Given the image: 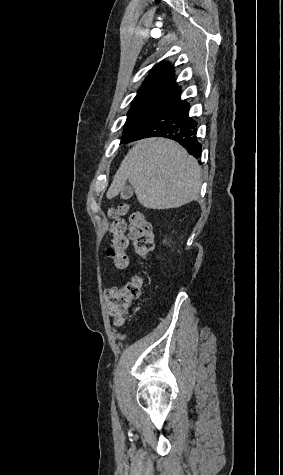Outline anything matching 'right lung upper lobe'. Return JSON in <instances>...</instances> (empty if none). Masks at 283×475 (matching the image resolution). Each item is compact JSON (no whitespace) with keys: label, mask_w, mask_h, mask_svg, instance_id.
<instances>
[{"label":"right lung upper lobe","mask_w":283,"mask_h":475,"mask_svg":"<svg viewBox=\"0 0 283 475\" xmlns=\"http://www.w3.org/2000/svg\"><path fill=\"white\" fill-rule=\"evenodd\" d=\"M174 72L172 67L167 63H161L157 65L144 81L142 87L138 91L137 96L155 92L162 89H175L180 88L173 81Z\"/></svg>","instance_id":"right-lung-upper-lobe-1"}]
</instances>
